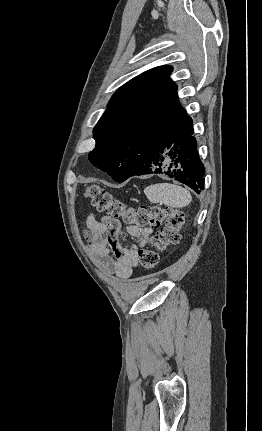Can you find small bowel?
Wrapping results in <instances>:
<instances>
[{
  "mask_svg": "<svg viewBox=\"0 0 262 431\" xmlns=\"http://www.w3.org/2000/svg\"><path fill=\"white\" fill-rule=\"evenodd\" d=\"M86 225L85 237L96 264L105 271H112L119 279H129L138 264L139 247L127 249L120 238L126 233L141 240L143 245L150 240L153 229L129 225L123 228L117 219L96 220L92 215L87 216Z\"/></svg>",
  "mask_w": 262,
  "mask_h": 431,
  "instance_id": "small-bowel-1",
  "label": "small bowel"
}]
</instances>
